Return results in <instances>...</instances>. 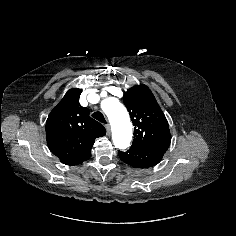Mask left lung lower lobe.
<instances>
[{"label": "left lung lower lobe", "mask_w": 236, "mask_h": 236, "mask_svg": "<svg viewBox=\"0 0 236 236\" xmlns=\"http://www.w3.org/2000/svg\"><path fill=\"white\" fill-rule=\"evenodd\" d=\"M167 149L130 147L126 152L118 151L120 159L135 168H150L158 164Z\"/></svg>", "instance_id": "1"}]
</instances>
